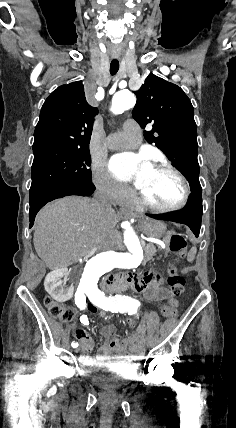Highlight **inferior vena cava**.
<instances>
[{"mask_svg":"<svg viewBox=\"0 0 236 428\" xmlns=\"http://www.w3.org/2000/svg\"><path fill=\"white\" fill-rule=\"evenodd\" d=\"M97 190L98 192H95L94 198H96L99 208H103V210H112L110 192H114V186L112 182H110V178H103L101 184H98ZM95 246H98V243H95ZM95 253L97 254L98 252L96 251Z\"/></svg>","mask_w":236,"mask_h":428,"instance_id":"inferior-vena-cava-1","label":"inferior vena cava"}]
</instances>
